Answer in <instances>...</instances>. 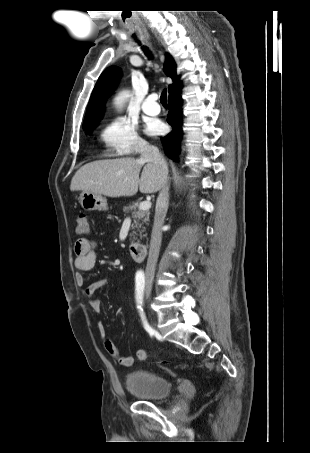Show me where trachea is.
Returning a JSON list of instances; mask_svg holds the SVG:
<instances>
[{
  "instance_id": "1",
  "label": "trachea",
  "mask_w": 310,
  "mask_h": 453,
  "mask_svg": "<svg viewBox=\"0 0 310 453\" xmlns=\"http://www.w3.org/2000/svg\"><path fill=\"white\" fill-rule=\"evenodd\" d=\"M142 49L144 50L145 54L148 55L151 58L150 51L147 49V47L143 46ZM160 102L163 105H167V91L166 89L163 90L160 96Z\"/></svg>"
}]
</instances>
